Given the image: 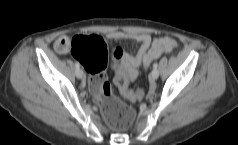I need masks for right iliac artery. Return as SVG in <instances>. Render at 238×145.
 <instances>
[{
    "mask_svg": "<svg viewBox=\"0 0 238 145\" xmlns=\"http://www.w3.org/2000/svg\"><path fill=\"white\" fill-rule=\"evenodd\" d=\"M75 67L76 68H79L80 67V64L78 62H75Z\"/></svg>",
    "mask_w": 238,
    "mask_h": 145,
    "instance_id": "obj_1",
    "label": "right iliac artery"
}]
</instances>
